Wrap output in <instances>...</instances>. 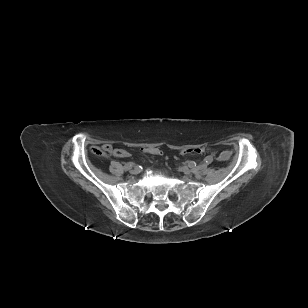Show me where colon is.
Here are the masks:
<instances>
[{
  "label": "colon",
  "mask_w": 308,
  "mask_h": 308,
  "mask_svg": "<svg viewBox=\"0 0 308 308\" xmlns=\"http://www.w3.org/2000/svg\"><path fill=\"white\" fill-rule=\"evenodd\" d=\"M142 150L146 153L150 154H158L159 150L156 148H142ZM94 152L98 155H108V154H113L116 157H127L128 152L122 148H116L112 149L111 146H108L106 149H99L96 148L94 149ZM184 154H193V155H203L206 152V149L203 147L199 148H190V149H185L182 151Z\"/></svg>",
  "instance_id": "colon-1"
}]
</instances>
